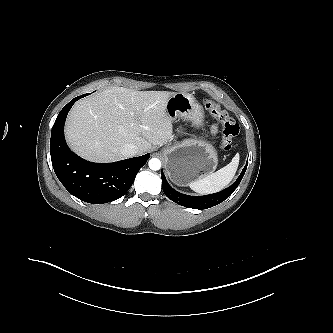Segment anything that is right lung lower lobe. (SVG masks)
I'll return each mask as SVG.
<instances>
[{
  "instance_id": "98d812e1",
  "label": "right lung lower lobe",
  "mask_w": 333,
  "mask_h": 333,
  "mask_svg": "<svg viewBox=\"0 0 333 333\" xmlns=\"http://www.w3.org/2000/svg\"><path fill=\"white\" fill-rule=\"evenodd\" d=\"M82 97L71 100L61 110L52 127V165L60 182L75 197L93 204L112 202L130 189L150 154L114 163H93L73 153L64 138V123L73 104Z\"/></svg>"
}]
</instances>
